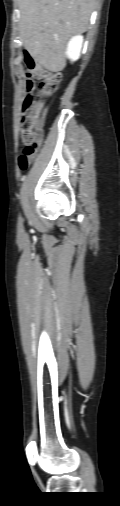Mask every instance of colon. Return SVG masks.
<instances>
[{"mask_svg": "<svg viewBox=\"0 0 120 506\" xmlns=\"http://www.w3.org/2000/svg\"><path fill=\"white\" fill-rule=\"evenodd\" d=\"M21 57L27 65V85L35 78L38 81L36 96L27 95L23 102L21 117V139L23 147L19 156V167L26 171L34 160L43 140V121L47 113L45 100L53 95L61 81V75L51 72L35 63L29 51H22Z\"/></svg>", "mask_w": 120, "mask_h": 506, "instance_id": "colon-1", "label": "colon"}]
</instances>
